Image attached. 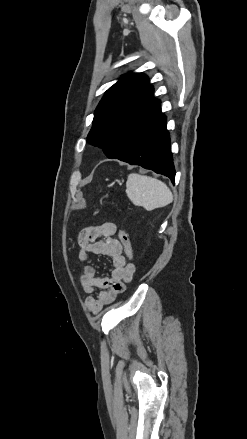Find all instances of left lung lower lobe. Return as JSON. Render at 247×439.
I'll use <instances>...</instances> for the list:
<instances>
[{"label": "left lung lower lobe", "instance_id": "0a47b994", "mask_svg": "<svg viewBox=\"0 0 247 439\" xmlns=\"http://www.w3.org/2000/svg\"><path fill=\"white\" fill-rule=\"evenodd\" d=\"M122 161L165 175L174 182L175 170L166 129V116L159 111L137 133Z\"/></svg>", "mask_w": 247, "mask_h": 439}]
</instances>
